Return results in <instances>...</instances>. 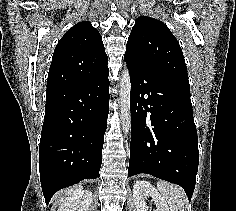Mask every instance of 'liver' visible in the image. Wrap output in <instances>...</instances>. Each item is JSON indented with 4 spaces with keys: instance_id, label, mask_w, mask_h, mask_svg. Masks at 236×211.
<instances>
[{
    "instance_id": "6515ba94",
    "label": "liver",
    "mask_w": 236,
    "mask_h": 211,
    "mask_svg": "<svg viewBox=\"0 0 236 211\" xmlns=\"http://www.w3.org/2000/svg\"><path fill=\"white\" fill-rule=\"evenodd\" d=\"M82 186L80 185H76V186H73L71 188H68L60 193H58L56 196H55V201H56V204H61L63 203L67 198L73 196L74 194L82 191Z\"/></svg>"
}]
</instances>
